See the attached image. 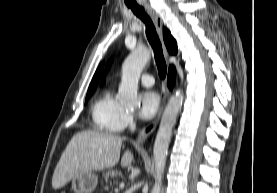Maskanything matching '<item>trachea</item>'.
I'll return each mask as SVG.
<instances>
[{
  "label": "trachea",
  "mask_w": 277,
  "mask_h": 193,
  "mask_svg": "<svg viewBox=\"0 0 277 193\" xmlns=\"http://www.w3.org/2000/svg\"><path fill=\"white\" fill-rule=\"evenodd\" d=\"M129 7L133 11V13L145 23L146 36L154 51L155 61L158 68V74L160 78L164 79L167 73V66L163 56L162 45L156 33V29L151 19L147 16L142 7H139L137 5Z\"/></svg>",
  "instance_id": "1"
}]
</instances>
